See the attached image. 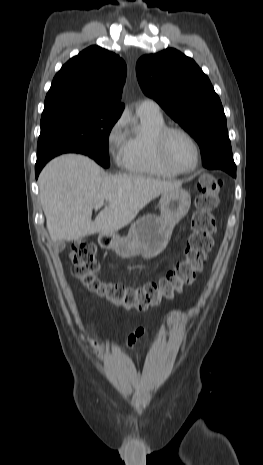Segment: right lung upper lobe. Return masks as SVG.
<instances>
[{
  "label": "right lung upper lobe",
  "instance_id": "obj_1",
  "mask_svg": "<svg viewBox=\"0 0 263 465\" xmlns=\"http://www.w3.org/2000/svg\"><path fill=\"white\" fill-rule=\"evenodd\" d=\"M127 68L116 54L91 46L55 75L44 105L77 103L123 111L119 103Z\"/></svg>",
  "mask_w": 263,
  "mask_h": 465
}]
</instances>
